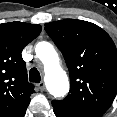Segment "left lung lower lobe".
Returning a JSON list of instances; mask_svg holds the SVG:
<instances>
[{
  "label": "left lung lower lobe",
  "instance_id": "1",
  "mask_svg": "<svg viewBox=\"0 0 117 117\" xmlns=\"http://www.w3.org/2000/svg\"><path fill=\"white\" fill-rule=\"evenodd\" d=\"M53 107H54V113L57 117H80V116L74 115L70 112L61 110L60 108H58L56 106H53Z\"/></svg>",
  "mask_w": 117,
  "mask_h": 117
}]
</instances>
